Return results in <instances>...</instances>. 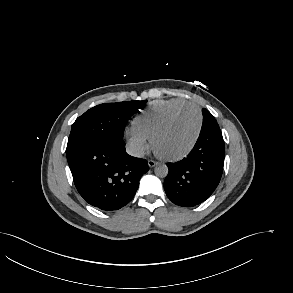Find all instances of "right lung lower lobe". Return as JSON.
Returning <instances> with one entry per match:
<instances>
[{"instance_id":"98d812e1","label":"right lung lower lobe","mask_w":293,"mask_h":293,"mask_svg":"<svg viewBox=\"0 0 293 293\" xmlns=\"http://www.w3.org/2000/svg\"><path fill=\"white\" fill-rule=\"evenodd\" d=\"M79 194L92 206L118 210L134 197L141 176L149 170L145 159L126 153L121 138H104L67 154Z\"/></svg>"}]
</instances>
